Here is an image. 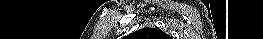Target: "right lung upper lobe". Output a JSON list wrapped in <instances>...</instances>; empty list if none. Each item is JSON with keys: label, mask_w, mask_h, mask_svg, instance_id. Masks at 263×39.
Wrapping results in <instances>:
<instances>
[{"label": "right lung upper lobe", "mask_w": 263, "mask_h": 39, "mask_svg": "<svg viewBox=\"0 0 263 39\" xmlns=\"http://www.w3.org/2000/svg\"><path fill=\"white\" fill-rule=\"evenodd\" d=\"M134 35H138V36H141V37H149V38H168V36L160 31V30H157V29H154V28H144V29H141L137 32L134 33Z\"/></svg>", "instance_id": "cb5924a9"}]
</instances>
